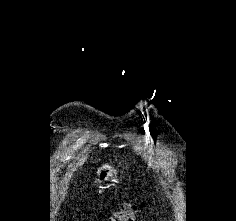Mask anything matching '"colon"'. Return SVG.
Returning a JSON list of instances; mask_svg holds the SVG:
<instances>
[{
  "instance_id": "5ec220e1",
  "label": "colon",
  "mask_w": 236,
  "mask_h": 221,
  "mask_svg": "<svg viewBox=\"0 0 236 221\" xmlns=\"http://www.w3.org/2000/svg\"><path fill=\"white\" fill-rule=\"evenodd\" d=\"M142 205L135 203H125L116 209L107 221H136L137 214Z\"/></svg>"
}]
</instances>
